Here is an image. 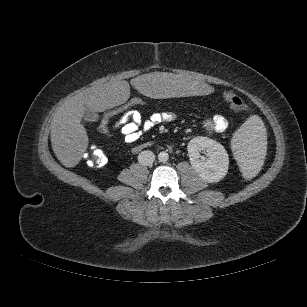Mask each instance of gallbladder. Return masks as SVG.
I'll return each mask as SVG.
<instances>
[{"instance_id":"bac80fb5","label":"gallbladder","mask_w":307,"mask_h":307,"mask_svg":"<svg viewBox=\"0 0 307 307\" xmlns=\"http://www.w3.org/2000/svg\"><path fill=\"white\" fill-rule=\"evenodd\" d=\"M83 117L87 121H96L98 119V114L90 108H86Z\"/></svg>"}]
</instances>
